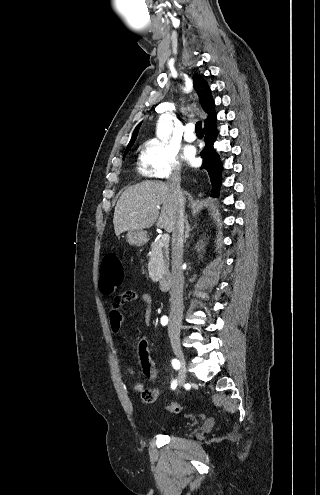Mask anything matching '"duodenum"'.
Masks as SVG:
<instances>
[{"instance_id":"410a0bca","label":"duodenum","mask_w":320,"mask_h":495,"mask_svg":"<svg viewBox=\"0 0 320 495\" xmlns=\"http://www.w3.org/2000/svg\"><path fill=\"white\" fill-rule=\"evenodd\" d=\"M171 286V275L170 273H166L159 280V287L161 290H168Z\"/></svg>"}]
</instances>
